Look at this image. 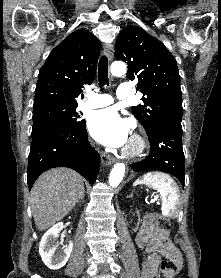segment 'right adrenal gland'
<instances>
[{
	"label": "right adrenal gland",
	"instance_id": "right-adrenal-gland-1",
	"mask_svg": "<svg viewBox=\"0 0 221 278\" xmlns=\"http://www.w3.org/2000/svg\"><path fill=\"white\" fill-rule=\"evenodd\" d=\"M84 196H85V189L83 190V193H82V195H81L80 199L78 200V202H79L80 200H81V201H83Z\"/></svg>",
	"mask_w": 221,
	"mask_h": 278
}]
</instances>
